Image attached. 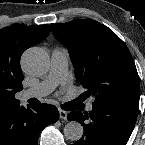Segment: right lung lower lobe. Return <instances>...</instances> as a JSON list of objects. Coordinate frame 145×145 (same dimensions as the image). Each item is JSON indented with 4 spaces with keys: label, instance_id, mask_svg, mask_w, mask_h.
<instances>
[{
    "label": "right lung lower lobe",
    "instance_id": "right-lung-lower-lobe-1",
    "mask_svg": "<svg viewBox=\"0 0 145 145\" xmlns=\"http://www.w3.org/2000/svg\"><path fill=\"white\" fill-rule=\"evenodd\" d=\"M58 119V109L48 104L0 110V145H37L40 131Z\"/></svg>",
    "mask_w": 145,
    "mask_h": 145
}]
</instances>
